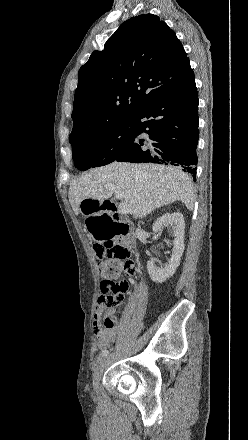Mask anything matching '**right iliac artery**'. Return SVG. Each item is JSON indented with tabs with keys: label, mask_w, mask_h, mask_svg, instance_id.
I'll list each match as a JSON object with an SVG mask.
<instances>
[{
	"label": "right iliac artery",
	"mask_w": 248,
	"mask_h": 440,
	"mask_svg": "<svg viewBox=\"0 0 248 440\" xmlns=\"http://www.w3.org/2000/svg\"><path fill=\"white\" fill-rule=\"evenodd\" d=\"M108 354H109L108 350H103L102 353H101V356L102 357H106Z\"/></svg>",
	"instance_id": "82829eb1"
}]
</instances>
